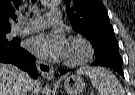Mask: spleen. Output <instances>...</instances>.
<instances>
[{
    "label": "spleen",
    "mask_w": 135,
    "mask_h": 95,
    "mask_svg": "<svg viewBox=\"0 0 135 95\" xmlns=\"http://www.w3.org/2000/svg\"><path fill=\"white\" fill-rule=\"evenodd\" d=\"M79 75H86L91 79L97 90V95H125V91L118 79L108 70L101 67H83L77 71Z\"/></svg>",
    "instance_id": "spleen-1"
}]
</instances>
